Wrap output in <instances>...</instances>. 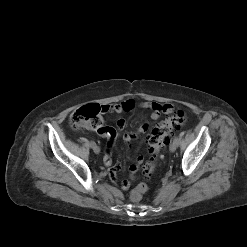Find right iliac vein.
Wrapping results in <instances>:
<instances>
[{"instance_id":"1","label":"right iliac vein","mask_w":247,"mask_h":247,"mask_svg":"<svg viewBox=\"0 0 247 247\" xmlns=\"http://www.w3.org/2000/svg\"><path fill=\"white\" fill-rule=\"evenodd\" d=\"M92 149H93V151H94L96 154H98V153L100 152V148H99V146H97L96 144H95L94 146H92Z\"/></svg>"}]
</instances>
